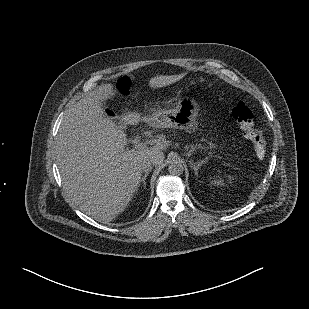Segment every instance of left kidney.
<instances>
[{"label": "left kidney", "instance_id": "5707ae66", "mask_svg": "<svg viewBox=\"0 0 309 309\" xmlns=\"http://www.w3.org/2000/svg\"><path fill=\"white\" fill-rule=\"evenodd\" d=\"M211 184L215 185V186H222L224 185L223 180L222 179H216V180H212Z\"/></svg>", "mask_w": 309, "mask_h": 309}]
</instances>
